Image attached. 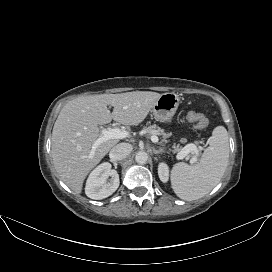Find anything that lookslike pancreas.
I'll return each mask as SVG.
<instances>
[{"label": "pancreas", "mask_w": 272, "mask_h": 272, "mask_svg": "<svg viewBox=\"0 0 272 272\" xmlns=\"http://www.w3.org/2000/svg\"><path fill=\"white\" fill-rule=\"evenodd\" d=\"M144 129V131L148 134V135H158V136H160L161 137V142L162 143H168L169 142V140H168V138H169V136H170V134L169 133H166L165 131H164V129H162V128H160V127H158L157 125H149L148 127L146 126V127H144L143 128ZM189 145V144H188ZM187 146V145H186ZM185 146V147H186ZM184 147V148H185ZM184 148H180L179 146H176V147H174V149L172 150V152L173 153H179L180 151H182ZM191 153L193 154L194 153V151H191Z\"/></svg>", "instance_id": "cf45deb5"}]
</instances>
